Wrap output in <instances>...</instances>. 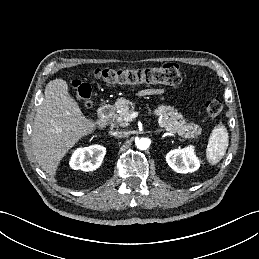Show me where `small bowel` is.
Returning a JSON list of instances; mask_svg holds the SVG:
<instances>
[{
  "instance_id": "small-bowel-1",
  "label": "small bowel",
  "mask_w": 259,
  "mask_h": 259,
  "mask_svg": "<svg viewBox=\"0 0 259 259\" xmlns=\"http://www.w3.org/2000/svg\"><path fill=\"white\" fill-rule=\"evenodd\" d=\"M162 93V90L160 89H154V90H147V91H144L142 92L141 94L142 95H146V94H160Z\"/></svg>"
}]
</instances>
